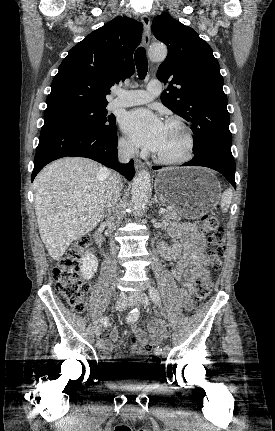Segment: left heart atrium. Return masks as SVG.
<instances>
[{
    "label": "left heart atrium",
    "instance_id": "39dd6f15",
    "mask_svg": "<svg viewBox=\"0 0 275 431\" xmlns=\"http://www.w3.org/2000/svg\"><path fill=\"white\" fill-rule=\"evenodd\" d=\"M122 125L135 145L153 152L159 149L165 123L157 115L145 109L131 111L123 118Z\"/></svg>",
    "mask_w": 275,
    "mask_h": 431
}]
</instances>
